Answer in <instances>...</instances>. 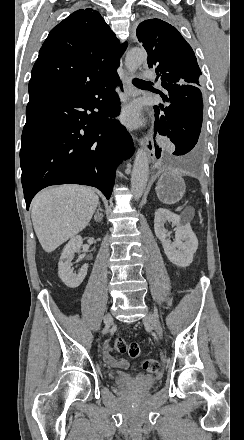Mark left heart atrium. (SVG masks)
I'll use <instances>...</instances> for the list:
<instances>
[{
  "mask_svg": "<svg viewBox=\"0 0 244 440\" xmlns=\"http://www.w3.org/2000/svg\"><path fill=\"white\" fill-rule=\"evenodd\" d=\"M122 119L129 125H137L140 121V106L132 104L125 109Z\"/></svg>",
  "mask_w": 244,
  "mask_h": 440,
  "instance_id": "left-heart-atrium-1",
  "label": "left heart atrium"
}]
</instances>
